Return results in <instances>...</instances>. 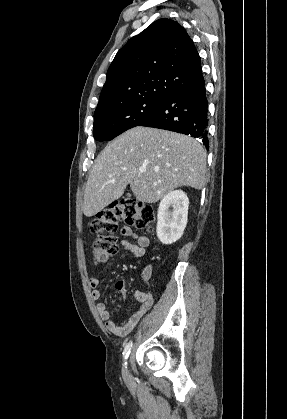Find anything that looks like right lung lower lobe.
<instances>
[{"label":"right lung lower lobe","mask_w":287,"mask_h":419,"mask_svg":"<svg viewBox=\"0 0 287 419\" xmlns=\"http://www.w3.org/2000/svg\"><path fill=\"white\" fill-rule=\"evenodd\" d=\"M139 126L165 129L198 138L209 148L205 81L168 95Z\"/></svg>","instance_id":"right-lung-lower-lobe-1"}]
</instances>
